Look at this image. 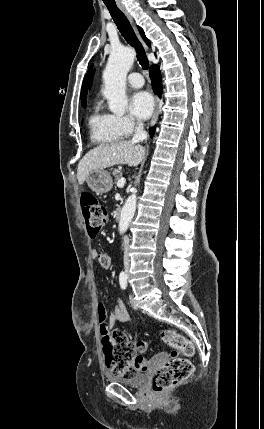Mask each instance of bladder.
I'll return each mask as SVG.
<instances>
[{
    "mask_svg": "<svg viewBox=\"0 0 264 429\" xmlns=\"http://www.w3.org/2000/svg\"><path fill=\"white\" fill-rule=\"evenodd\" d=\"M148 373H136L133 376L125 377L119 375L109 374L107 377L110 381L130 387H138L141 386L148 379Z\"/></svg>",
    "mask_w": 264,
    "mask_h": 429,
    "instance_id": "bladder-1",
    "label": "bladder"
}]
</instances>
